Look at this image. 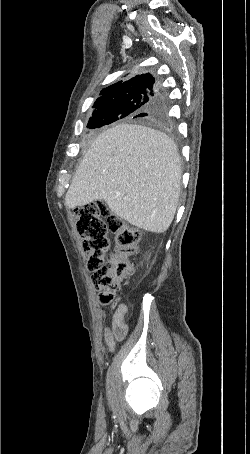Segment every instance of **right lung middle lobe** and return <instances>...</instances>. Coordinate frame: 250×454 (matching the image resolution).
Instances as JSON below:
<instances>
[{
    "label": "right lung middle lobe",
    "mask_w": 250,
    "mask_h": 454,
    "mask_svg": "<svg viewBox=\"0 0 250 454\" xmlns=\"http://www.w3.org/2000/svg\"><path fill=\"white\" fill-rule=\"evenodd\" d=\"M161 94L156 85H141L132 88L118 96L97 100L94 103L92 117L87 128L94 129L111 124L122 119H136L154 124H162V119L153 114L152 104Z\"/></svg>",
    "instance_id": "dd1d6c3e"
}]
</instances>
